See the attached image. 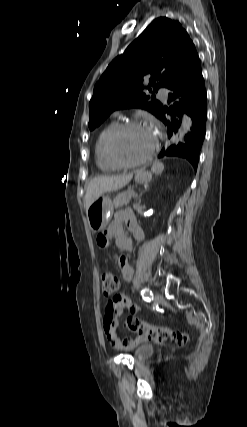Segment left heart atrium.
I'll return each mask as SVG.
<instances>
[{
	"label": "left heart atrium",
	"instance_id": "left-heart-atrium-1",
	"mask_svg": "<svg viewBox=\"0 0 247 427\" xmlns=\"http://www.w3.org/2000/svg\"><path fill=\"white\" fill-rule=\"evenodd\" d=\"M152 132H153V134H154V131L152 130V129H150Z\"/></svg>",
	"mask_w": 247,
	"mask_h": 427
}]
</instances>
